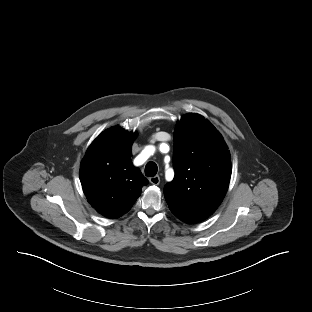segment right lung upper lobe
I'll use <instances>...</instances> for the list:
<instances>
[{"instance_id": "right-lung-upper-lobe-1", "label": "right lung upper lobe", "mask_w": 312, "mask_h": 312, "mask_svg": "<svg viewBox=\"0 0 312 312\" xmlns=\"http://www.w3.org/2000/svg\"><path fill=\"white\" fill-rule=\"evenodd\" d=\"M136 133L112 127L90 145L80 167V181L87 200L105 217L128 212L148 180L131 162Z\"/></svg>"}]
</instances>
